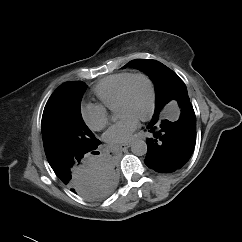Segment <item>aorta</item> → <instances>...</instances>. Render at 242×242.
<instances>
[{"mask_svg":"<svg viewBox=\"0 0 242 242\" xmlns=\"http://www.w3.org/2000/svg\"><path fill=\"white\" fill-rule=\"evenodd\" d=\"M131 151L136 156H143L147 153V144L143 140H136L131 145Z\"/></svg>","mask_w":242,"mask_h":242,"instance_id":"aorta-1","label":"aorta"}]
</instances>
